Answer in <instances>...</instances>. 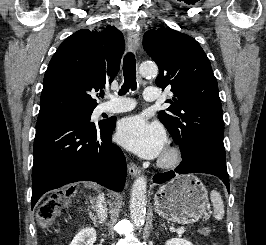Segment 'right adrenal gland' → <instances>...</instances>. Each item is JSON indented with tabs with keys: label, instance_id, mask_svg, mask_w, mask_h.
I'll return each instance as SVG.
<instances>
[{
	"label": "right adrenal gland",
	"instance_id": "obj_1",
	"mask_svg": "<svg viewBox=\"0 0 266 245\" xmlns=\"http://www.w3.org/2000/svg\"><path fill=\"white\" fill-rule=\"evenodd\" d=\"M87 203H90V207H91V209H93L95 199H92V197H89V201L87 199ZM90 207H88V211H89ZM89 217H90L91 221H93L94 227H98L99 223H102V221H97L96 217H94V213H91V211H89Z\"/></svg>",
	"mask_w": 266,
	"mask_h": 245
}]
</instances>
